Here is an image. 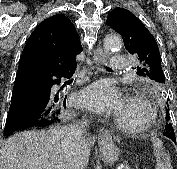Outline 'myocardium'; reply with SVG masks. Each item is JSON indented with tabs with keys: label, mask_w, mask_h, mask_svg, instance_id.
I'll return each instance as SVG.
<instances>
[{
	"label": "myocardium",
	"mask_w": 177,
	"mask_h": 169,
	"mask_svg": "<svg viewBox=\"0 0 177 169\" xmlns=\"http://www.w3.org/2000/svg\"><path fill=\"white\" fill-rule=\"evenodd\" d=\"M126 103L139 107L144 113V118L138 123H130L123 121L120 115H116L115 122L120 130L129 134H141L155 126L157 120L156 110L143 95L132 93L127 96Z\"/></svg>",
	"instance_id": "obj_1"
}]
</instances>
